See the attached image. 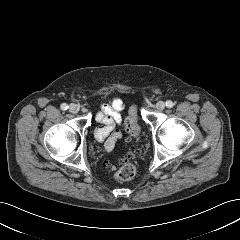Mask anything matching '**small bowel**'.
<instances>
[{
    "label": "small bowel",
    "mask_w": 240,
    "mask_h": 240,
    "mask_svg": "<svg viewBox=\"0 0 240 240\" xmlns=\"http://www.w3.org/2000/svg\"><path fill=\"white\" fill-rule=\"evenodd\" d=\"M123 108V101L116 97L111 104L101 105L95 114V120L100 126L95 130L94 137L97 141L103 142L105 151H111L122 137L119 125L122 121L120 111Z\"/></svg>",
    "instance_id": "1"
}]
</instances>
